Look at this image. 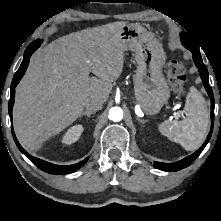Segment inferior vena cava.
Masks as SVG:
<instances>
[{
  "label": "inferior vena cava",
  "mask_w": 221,
  "mask_h": 221,
  "mask_svg": "<svg viewBox=\"0 0 221 221\" xmlns=\"http://www.w3.org/2000/svg\"><path fill=\"white\" fill-rule=\"evenodd\" d=\"M103 100L97 97H92L86 100L85 107L89 111H98L102 108Z\"/></svg>",
  "instance_id": "602c4592"
}]
</instances>
